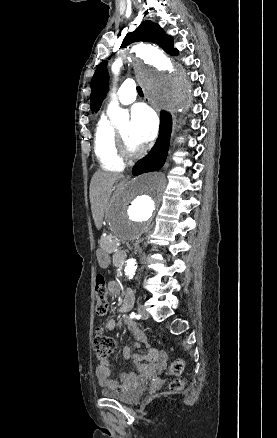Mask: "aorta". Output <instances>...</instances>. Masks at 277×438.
I'll use <instances>...</instances> for the list:
<instances>
[{"mask_svg":"<svg viewBox=\"0 0 277 438\" xmlns=\"http://www.w3.org/2000/svg\"><path fill=\"white\" fill-rule=\"evenodd\" d=\"M135 70L147 94L160 107L176 112L184 109L190 99L191 84L185 72L176 67L166 55L150 45L133 46ZM123 62L115 60L112 72L118 75ZM114 125L129 120V113L113 101L107 110ZM165 178L161 173L143 174L127 183L113 199L109 209V223L113 233L122 242H132L147 233L154 224L160 207ZM136 260L125 265V276L133 278Z\"/></svg>","mask_w":277,"mask_h":438,"instance_id":"1","label":"aorta"}]
</instances>
